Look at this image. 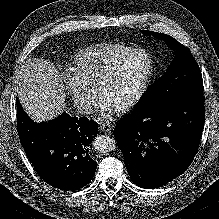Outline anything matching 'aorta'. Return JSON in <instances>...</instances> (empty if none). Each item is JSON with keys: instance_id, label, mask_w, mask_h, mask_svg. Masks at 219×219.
<instances>
[{"instance_id": "obj_1", "label": "aorta", "mask_w": 219, "mask_h": 219, "mask_svg": "<svg viewBox=\"0 0 219 219\" xmlns=\"http://www.w3.org/2000/svg\"><path fill=\"white\" fill-rule=\"evenodd\" d=\"M93 147L101 153L111 152L116 148V141L110 136L100 135L94 139Z\"/></svg>"}]
</instances>
